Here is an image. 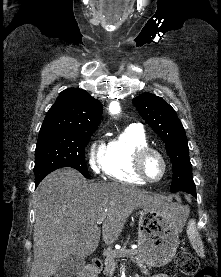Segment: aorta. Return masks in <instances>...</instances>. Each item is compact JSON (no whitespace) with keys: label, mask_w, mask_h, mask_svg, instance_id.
<instances>
[{"label":"aorta","mask_w":221,"mask_h":277,"mask_svg":"<svg viewBox=\"0 0 221 277\" xmlns=\"http://www.w3.org/2000/svg\"><path fill=\"white\" fill-rule=\"evenodd\" d=\"M110 110H111L112 113H118L119 112V107L113 105V106H111Z\"/></svg>","instance_id":"aorta-1"}]
</instances>
